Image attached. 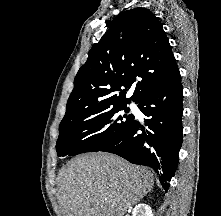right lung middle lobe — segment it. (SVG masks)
I'll return each mask as SVG.
<instances>
[{
    "instance_id": "1",
    "label": "right lung middle lobe",
    "mask_w": 221,
    "mask_h": 216,
    "mask_svg": "<svg viewBox=\"0 0 221 216\" xmlns=\"http://www.w3.org/2000/svg\"><path fill=\"white\" fill-rule=\"evenodd\" d=\"M128 112L127 104H120L90 111L74 121H61L56 143L57 155L74 156L100 151L134 121V115Z\"/></svg>"
}]
</instances>
